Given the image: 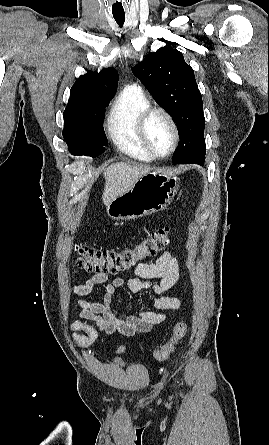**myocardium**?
Segmentation results:
<instances>
[{
  "mask_svg": "<svg viewBox=\"0 0 269 445\" xmlns=\"http://www.w3.org/2000/svg\"><path fill=\"white\" fill-rule=\"evenodd\" d=\"M154 114H161L163 115L169 122V124L171 125L172 128V132H173V143L171 148L169 149V151L163 155L158 154L153 147L151 146L148 138H147V124L150 120V118L154 115ZM137 130H138V136L139 139L143 145V147L147 150V152H149V154H151L155 159H166L169 156H171L174 151L176 150L178 144H179V140H180V132H179V127L178 124L175 120V118L173 117V115L166 110L165 108L162 107H149L147 108L145 111L142 112V114L139 117L138 120V126H137Z\"/></svg>",
  "mask_w": 269,
  "mask_h": 445,
  "instance_id": "1",
  "label": "myocardium"
}]
</instances>
